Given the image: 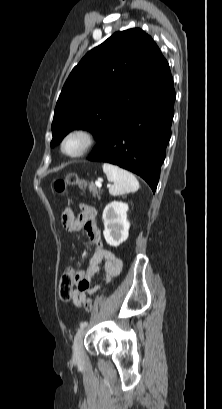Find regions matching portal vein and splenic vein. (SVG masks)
<instances>
[{
  "label": "portal vein and splenic vein",
  "instance_id": "18ae733b",
  "mask_svg": "<svg viewBox=\"0 0 222 409\" xmlns=\"http://www.w3.org/2000/svg\"><path fill=\"white\" fill-rule=\"evenodd\" d=\"M95 184H96V186L99 187V188L102 186L100 180H97V181L95 182ZM107 186L109 187L110 185H107Z\"/></svg>",
  "mask_w": 222,
  "mask_h": 409
}]
</instances>
